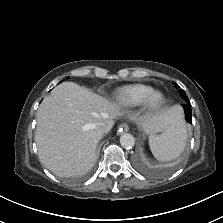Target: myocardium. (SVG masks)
<instances>
[{"label":"myocardium","mask_w":223,"mask_h":223,"mask_svg":"<svg viewBox=\"0 0 223 223\" xmlns=\"http://www.w3.org/2000/svg\"><path fill=\"white\" fill-rule=\"evenodd\" d=\"M165 102L164 94L159 90H151L143 99L141 105L144 110L152 112L159 109Z\"/></svg>","instance_id":"myocardium-1"}]
</instances>
